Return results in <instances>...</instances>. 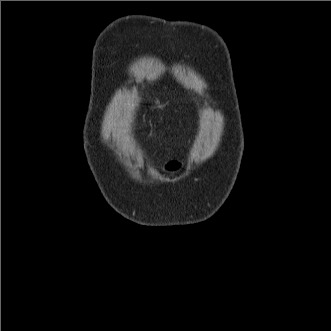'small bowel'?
Returning a JSON list of instances; mask_svg holds the SVG:
<instances>
[{
	"label": "small bowel",
	"instance_id": "1",
	"mask_svg": "<svg viewBox=\"0 0 331 331\" xmlns=\"http://www.w3.org/2000/svg\"><path fill=\"white\" fill-rule=\"evenodd\" d=\"M181 163L177 162V161H172L170 163H168V168L169 170H177L181 167Z\"/></svg>",
	"mask_w": 331,
	"mask_h": 331
}]
</instances>
